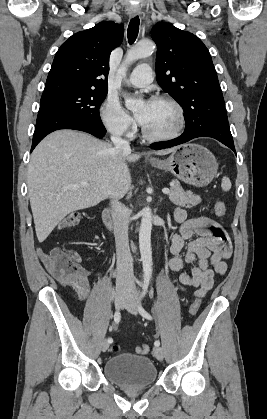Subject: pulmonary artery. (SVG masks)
I'll use <instances>...</instances> for the list:
<instances>
[{
    "mask_svg": "<svg viewBox=\"0 0 267 419\" xmlns=\"http://www.w3.org/2000/svg\"><path fill=\"white\" fill-rule=\"evenodd\" d=\"M153 80L152 69L148 64L138 65L131 73L128 82L135 87H145Z\"/></svg>",
    "mask_w": 267,
    "mask_h": 419,
    "instance_id": "pulmonary-artery-1",
    "label": "pulmonary artery"
}]
</instances>
